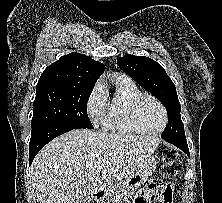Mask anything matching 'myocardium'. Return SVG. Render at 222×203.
Here are the masks:
<instances>
[{
  "instance_id": "1",
  "label": "myocardium",
  "mask_w": 222,
  "mask_h": 203,
  "mask_svg": "<svg viewBox=\"0 0 222 203\" xmlns=\"http://www.w3.org/2000/svg\"><path fill=\"white\" fill-rule=\"evenodd\" d=\"M145 100H152L153 102H155L160 109L162 110L163 113V117H164V122L163 125L160 129L158 130H149L147 129L141 122L140 117H139V109L140 106L142 105V103ZM129 112H130V117L131 120L133 122V124L143 133H147L150 135H157L160 134L161 132H163L165 130V128L168 125V112L166 110V107L163 105V103L157 99L156 97L152 96V95H147V94H141L140 96L136 97L130 104V108H129Z\"/></svg>"
}]
</instances>
